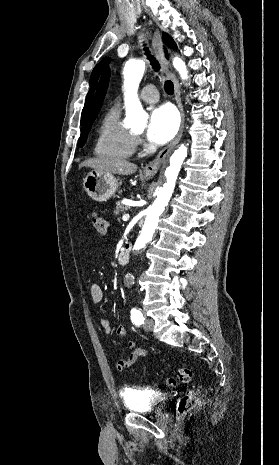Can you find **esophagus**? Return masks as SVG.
<instances>
[{"label":"esophagus","instance_id":"esophagus-1","mask_svg":"<svg viewBox=\"0 0 279 465\" xmlns=\"http://www.w3.org/2000/svg\"><path fill=\"white\" fill-rule=\"evenodd\" d=\"M152 47L154 50V53L159 60L163 71L167 74V76L173 81L174 84V92H175V99L178 105V108L181 113V126L179 129V132L175 139L167 145L165 148H163L158 155L155 157L154 160L146 164V166L143 169V173L146 177H153L158 170L160 169L161 165L164 163L166 157L168 154L173 150L175 145L180 141V138L183 134L184 130V123H185V114H184V109L181 101V93H180V86L177 78L175 75L169 70V64L168 61L166 60L164 56V51H163V45H162V40H161V35L159 34L158 31H154L153 36H152Z\"/></svg>","mask_w":279,"mask_h":465}]
</instances>
